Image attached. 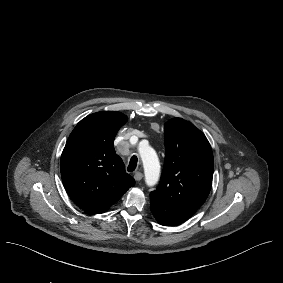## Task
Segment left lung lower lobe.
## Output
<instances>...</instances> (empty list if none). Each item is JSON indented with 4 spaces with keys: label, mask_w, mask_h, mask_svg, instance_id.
<instances>
[{
    "label": "left lung lower lobe",
    "mask_w": 283,
    "mask_h": 283,
    "mask_svg": "<svg viewBox=\"0 0 283 283\" xmlns=\"http://www.w3.org/2000/svg\"><path fill=\"white\" fill-rule=\"evenodd\" d=\"M150 209L158 223L164 226L181 224L196 212V210L170 205L152 197H150Z\"/></svg>",
    "instance_id": "obj_1"
}]
</instances>
